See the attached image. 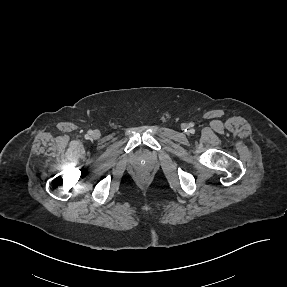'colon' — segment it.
<instances>
[{"label": "colon", "mask_w": 287, "mask_h": 287, "mask_svg": "<svg viewBox=\"0 0 287 287\" xmlns=\"http://www.w3.org/2000/svg\"><path fill=\"white\" fill-rule=\"evenodd\" d=\"M139 179H140V181H143V182H144V181H146L147 178H146L145 175H140V176H139Z\"/></svg>", "instance_id": "5ec220e1"}]
</instances>
